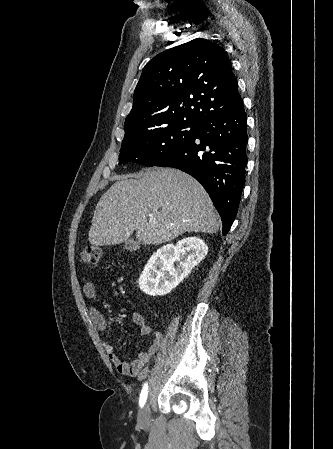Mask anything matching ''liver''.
<instances>
[{"label":"liver","instance_id":"liver-1","mask_svg":"<svg viewBox=\"0 0 333 449\" xmlns=\"http://www.w3.org/2000/svg\"><path fill=\"white\" fill-rule=\"evenodd\" d=\"M219 225L209 195L192 176L145 169L119 177L101 196L88 240L96 247L120 244L136 231L140 243L156 245L185 232L214 234Z\"/></svg>","mask_w":333,"mask_h":449}]
</instances>
